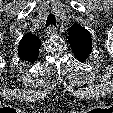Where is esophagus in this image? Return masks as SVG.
Segmentation results:
<instances>
[{
    "label": "esophagus",
    "instance_id": "1",
    "mask_svg": "<svg viewBox=\"0 0 113 113\" xmlns=\"http://www.w3.org/2000/svg\"><path fill=\"white\" fill-rule=\"evenodd\" d=\"M56 33H57V31H56V28H54V26H50L45 32L46 36H48V37H51Z\"/></svg>",
    "mask_w": 113,
    "mask_h": 113
}]
</instances>
